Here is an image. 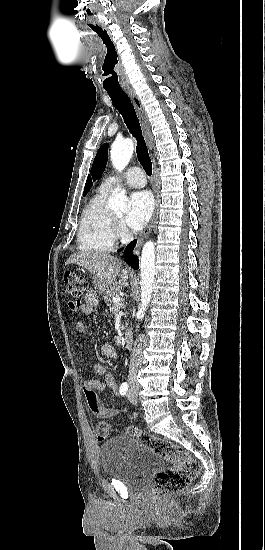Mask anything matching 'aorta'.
I'll use <instances>...</instances> for the list:
<instances>
[{"label":"aorta","instance_id":"aorta-1","mask_svg":"<svg viewBox=\"0 0 265 550\" xmlns=\"http://www.w3.org/2000/svg\"><path fill=\"white\" fill-rule=\"evenodd\" d=\"M134 151V144L131 139L116 142L111 147V160L115 169L122 171L129 163ZM109 207L119 209L122 212L128 210L127 196L124 190L119 189L110 199ZM155 275V246L152 241L145 243L140 259L141 276V303L137 317L143 318L150 303Z\"/></svg>","mask_w":265,"mask_h":550}]
</instances>
